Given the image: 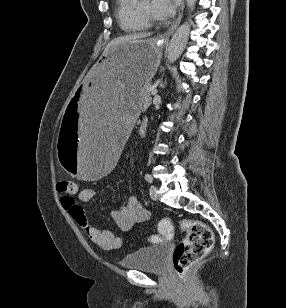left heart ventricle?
Returning <instances> with one entry per match:
<instances>
[{
  "instance_id": "b2bd125f",
  "label": "left heart ventricle",
  "mask_w": 286,
  "mask_h": 308,
  "mask_svg": "<svg viewBox=\"0 0 286 308\" xmlns=\"http://www.w3.org/2000/svg\"><path fill=\"white\" fill-rule=\"evenodd\" d=\"M138 9L140 11H142L143 13H145V14L153 16L152 12H151V2L149 0H147V1L143 2L142 4H140Z\"/></svg>"
}]
</instances>
